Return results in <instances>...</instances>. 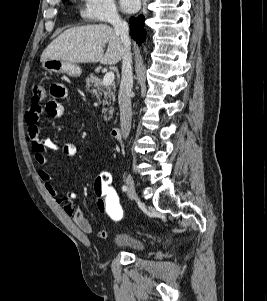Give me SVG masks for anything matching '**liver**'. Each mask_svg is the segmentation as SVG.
Segmentation results:
<instances>
[{
    "mask_svg": "<svg viewBox=\"0 0 267 301\" xmlns=\"http://www.w3.org/2000/svg\"><path fill=\"white\" fill-rule=\"evenodd\" d=\"M108 44L104 54L103 47ZM125 53L120 36L109 25H86L64 31L54 39L41 55V62L50 59L71 63L113 65Z\"/></svg>",
    "mask_w": 267,
    "mask_h": 301,
    "instance_id": "liver-1",
    "label": "liver"
}]
</instances>
